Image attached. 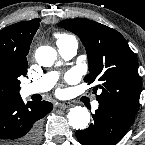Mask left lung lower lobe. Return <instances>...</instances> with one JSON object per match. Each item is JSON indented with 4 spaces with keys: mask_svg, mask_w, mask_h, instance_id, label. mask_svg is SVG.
Listing matches in <instances>:
<instances>
[{
    "mask_svg": "<svg viewBox=\"0 0 145 145\" xmlns=\"http://www.w3.org/2000/svg\"><path fill=\"white\" fill-rule=\"evenodd\" d=\"M134 115L115 106L99 104L93 115L94 123L76 131V137L82 145H115L130 128Z\"/></svg>",
    "mask_w": 145,
    "mask_h": 145,
    "instance_id": "obj_1",
    "label": "left lung lower lobe"
}]
</instances>
